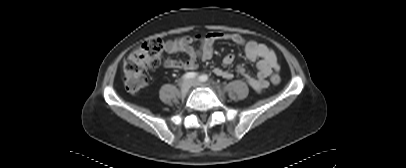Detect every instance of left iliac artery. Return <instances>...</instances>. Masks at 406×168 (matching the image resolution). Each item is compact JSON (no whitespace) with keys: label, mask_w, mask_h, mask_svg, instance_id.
Returning a JSON list of instances; mask_svg holds the SVG:
<instances>
[{"label":"left iliac artery","mask_w":406,"mask_h":168,"mask_svg":"<svg viewBox=\"0 0 406 168\" xmlns=\"http://www.w3.org/2000/svg\"><path fill=\"white\" fill-rule=\"evenodd\" d=\"M199 80H200L201 82H206V81L208 80V76H207V75H201V76L199 77Z\"/></svg>","instance_id":"1"}]
</instances>
